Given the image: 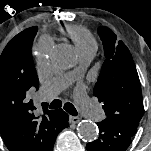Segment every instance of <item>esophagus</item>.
Returning <instances> with one entry per match:
<instances>
[{
  "label": "esophagus",
  "instance_id": "1",
  "mask_svg": "<svg viewBox=\"0 0 151 151\" xmlns=\"http://www.w3.org/2000/svg\"><path fill=\"white\" fill-rule=\"evenodd\" d=\"M79 121H80V118L76 117V116H70V118H69V122L72 123V124H76Z\"/></svg>",
  "mask_w": 151,
  "mask_h": 151
}]
</instances>
